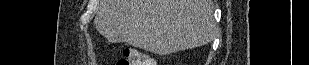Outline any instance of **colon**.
<instances>
[{"instance_id": "1", "label": "colon", "mask_w": 309, "mask_h": 65, "mask_svg": "<svg viewBox=\"0 0 309 65\" xmlns=\"http://www.w3.org/2000/svg\"><path fill=\"white\" fill-rule=\"evenodd\" d=\"M148 56L138 50H126L124 56L118 61V65H153L154 63H146Z\"/></svg>"}]
</instances>
